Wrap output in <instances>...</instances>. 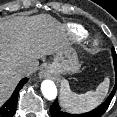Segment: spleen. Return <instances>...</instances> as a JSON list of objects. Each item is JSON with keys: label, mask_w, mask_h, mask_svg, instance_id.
I'll return each instance as SVG.
<instances>
[{"label": "spleen", "mask_w": 117, "mask_h": 117, "mask_svg": "<svg viewBox=\"0 0 117 117\" xmlns=\"http://www.w3.org/2000/svg\"><path fill=\"white\" fill-rule=\"evenodd\" d=\"M110 85L109 77L99 84L95 91L76 94L71 91L67 80L61 81L60 103L69 113H85L97 107L107 96Z\"/></svg>", "instance_id": "obj_1"}]
</instances>
